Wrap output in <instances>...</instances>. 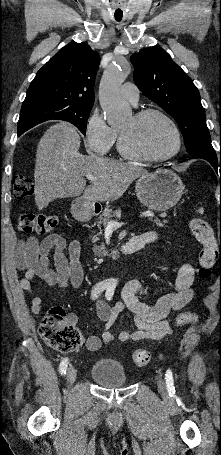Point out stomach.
<instances>
[{"mask_svg":"<svg viewBox=\"0 0 221 455\" xmlns=\"http://www.w3.org/2000/svg\"><path fill=\"white\" fill-rule=\"evenodd\" d=\"M184 190L181 178L172 170L160 169L154 173L138 178L135 192L138 200L147 208L156 211H165L175 206ZM84 219L92 216L90 201H83L80 210Z\"/></svg>","mask_w":221,"mask_h":455,"instance_id":"stomach-1","label":"stomach"}]
</instances>
